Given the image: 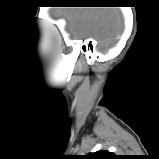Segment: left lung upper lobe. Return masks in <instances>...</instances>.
I'll use <instances>...</instances> for the list:
<instances>
[{
    "label": "left lung upper lobe",
    "instance_id": "1",
    "mask_svg": "<svg viewBox=\"0 0 159 159\" xmlns=\"http://www.w3.org/2000/svg\"><path fill=\"white\" fill-rule=\"evenodd\" d=\"M83 159H119V157L112 152L97 151L84 156Z\"/></svg>",
    "mask_w": 159,
    "mask_h": 159
}]
</instances>
